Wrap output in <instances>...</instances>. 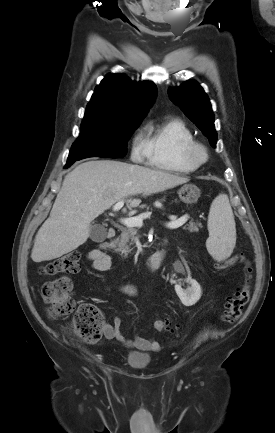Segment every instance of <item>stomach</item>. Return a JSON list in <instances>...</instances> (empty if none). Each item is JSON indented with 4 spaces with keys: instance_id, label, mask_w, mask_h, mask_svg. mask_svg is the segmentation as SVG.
<instances>
[{
    "instance_id": "stomach-1",
    "label": "stomach",
    "mask_w": 275,
    "mask_h": 433,
    "mask_svg": "<svg viewBox=\"0 0 275 433\" xmlns=\"http://www.w3.org/2000/svg\"><path fill=\"white\" fill-rule=\"evenodd\" d=\"M200 194V189L193 184H185L178 190L180 200L186 204L197 202Z\"/></svg>"
}]
</instances>
